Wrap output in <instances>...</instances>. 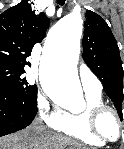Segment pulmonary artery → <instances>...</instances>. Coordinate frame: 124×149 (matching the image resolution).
Masks as SVG:
<instances>
[{"label": "pulmonary artery", "mask_w": 124, "mask_h": 149, "mask_svg": "<svg viewBox=\"0 0 124 149\" xmlns=\"http://www.w3.org/2000/svg\"><path fill=\"white\" fill-rule=\"evenodd\" d=\"M79 78L85 92H101V82L84 63L79 66Z\"/></svg>", "instance_id": "1"}]
</instances>
